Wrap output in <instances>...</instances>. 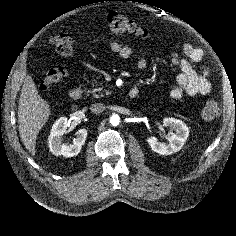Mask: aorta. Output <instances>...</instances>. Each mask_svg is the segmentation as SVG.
<instances>
[{
	"instance_id": "aorta-1",
	"label": "aorta",
	"mask_w": 236,
	"mask_h": 236,
	"mask_svg": "<svg viewBox=\"0 0 236 236\" xmlns=\"http://www.w3.org/2000/svg\"><path fill=\"white\" fill-rule=\"evenodd\" d=\"M120 122V117L117 115V114H113L111 117H110V123L113 125V126H117Z\"/></svg>"
}]
</instances>
